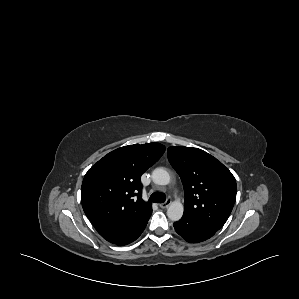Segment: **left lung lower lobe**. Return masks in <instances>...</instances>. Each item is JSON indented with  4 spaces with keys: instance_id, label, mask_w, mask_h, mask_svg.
<instances>
[{
    "instance_id": "obj_1",
    "label": "left lung lower lobe",
    "mask_w": 299,
    "mask_h": 299,
    "mask_svg": "<svg viewBox=\"0 0 299 299\" xmlns=\"http://www.w3.org/2000/svg\"><path fill=\"white\" fill-rule=\"evenodd\" d=\"M173 225L180 236H182L186 241L193 243L205 241L211 238L216 232L203 224L192 221L186 216H183Z\"/></svg>"
}]
</instances>
